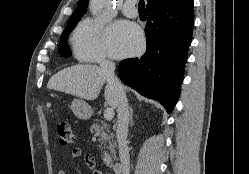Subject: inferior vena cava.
<instances>
[{
    "label": "inferior vena cava",
    "instance_id": "obj_1",
    "mask_svg": "<svg viewBox=\"0 0 249 174\" xmlns=\"http://www.w3.org/2000/svg\"><path fill=\"white\" fill-rule=\"evenodd\" d=\"M100 67L104 73L109 77L110 83L114 86L117 95V141L119 148V156L121 161L122 174H129L130 172V158L127 147L128 124H129V107L128 101L121 82L116 77L114 70L115 64L103 59L100 62Z\"/></svg>",
    "mask_w": 249,
    "mask_h": 174
}]
</instances>
